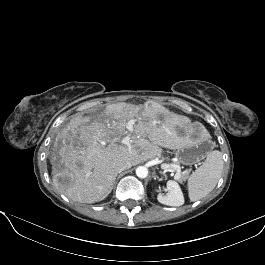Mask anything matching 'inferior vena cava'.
<instances>
[{
  "instance_id": "602c4592",
  "label": "inferior vena cava",
  "mask_w": 265,
  "mask_h": 265,
  "mask_svg": "<svg viewBox=\"0 0 265 265\" xmlns=\"http://www.w3.org/2000/svg\"><path fill=\"white\" fill-rule=\"evenodd\" d=\"M132 167V162L129 160L121 161L117 164V171L120 173L126 169H129Z\"/></svg>"
}]
</instances>
